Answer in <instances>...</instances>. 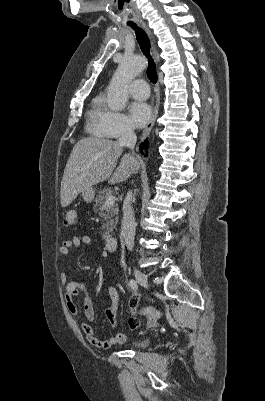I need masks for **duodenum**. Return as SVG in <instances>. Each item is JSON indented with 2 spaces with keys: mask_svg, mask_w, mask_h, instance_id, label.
Instances as JSON below:
<instances>
[{
  "mask_svg": "<svg viewBox=\"0 0 265 401\" xmlns=\"http://www.w3.org/2000/svg\"><path fill=\"white\" fill-rule=\"evenodd\" d=\"M118 241L115 236H109L105 239V247L108 251L113 252L117 249Z\"/></svg>",
  "mask_w": 265,
  "mask_h": 401,
  "instance_id": "obj_1",
  "label": "duodenum"
}]
</instances>
